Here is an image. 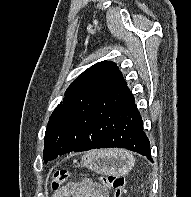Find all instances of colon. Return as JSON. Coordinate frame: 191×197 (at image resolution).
<instances>
[{
    "label": "colon",
    "mask_w": 191,
    "mask_h": 197,
    "mask_svg": "<svg viewBox=\"0 0 191 197\" xmlns=\"http://www.w3.org/2000/svg\"><path fill=\"white\" fill-rule=\"evenodd\" d=\"M69 172L66 170H57L53 174L51 187L57 191L60 186L69 179ZM102 186L113 191V197H122L124 194L125 179L121 175L105 174L100 177Z\"/></svg>",
    "instance_id": "5ec220e1"
}]
</instances>
